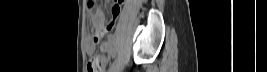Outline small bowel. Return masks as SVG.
<instances>
[{"label": "small bowel", "instance_id": "1", "mask_svg": "<svg viewBox=\"0 0 267 72\" xmlns=\"http://www.w3.org/2000/svg\"><path fill=\"white\" fill-rule=\"evenodd\" d=\"M120 2L119 3V10L118 11H114V7L115 4L113 5L112 8V20L111 22H115V20L118 18V16L120 15L121 12V3L122 1H117ZM90 21L95 29V38L99 37V39H102L103 37H105L106 35H108V33L112 30H107V26L109 25V22L107 25H105V16L104 13L102 11H96L90 18ZM86 50L87 53L92 56V59H96L99 61L100 63V71H103V69L106 66V57L104 56H93V52L95 50V42L93 40H90L86 43ZM104 50L109 53L112 50V43H111V38L108 39V41L104 44Z\"/></svg>", "mask_w": 267, "mask_h": 72}]
</instances>
